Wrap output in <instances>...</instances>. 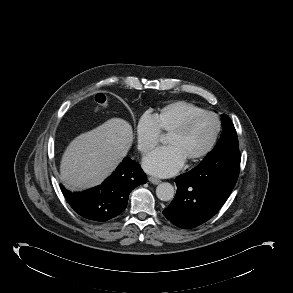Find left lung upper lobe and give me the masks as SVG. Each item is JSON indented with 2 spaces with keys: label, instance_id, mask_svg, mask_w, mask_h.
<instances>
[{
  "label": "left lung upper lobe",
  "instance_id": "5c2ea615",
  "mask_svg": "<svg viewBox=\"0 0 293 293\" xmlns=\"http://www.w3.org/2000/svg\"><path fill=\"white\" fill-rule=\"evenodd\" d=\"M223 131L221 137L214 147V149L208 153L206 158L199 165L213 166L223 159L229 152L239 151L238 138L234 125L227 115L221 117Z\"/></svg>",
  "mask_w": 293,
  "mask_h": 293
}]
</instances>
